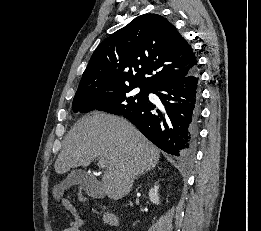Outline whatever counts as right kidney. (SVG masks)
<instances>
[{
  "label": "right kidney",
  "instance_id": "obj_1",
  "mask_svg": "<svg viewBox=\"0 0 261 231\" xmlns=\"http://www.w3.org/2000/svg\"><path fill=\"white\" fill-rule=\"evenodd\" d=\"M158 189H159V186L158 185H155L153 188L150 189L149 191V198H150V201L153 203V204H156L158 205L160 202H159V195H158Z\"/></svg>",
  "mask_w": 261,
  "mask_h": 231
}]
</instances>
